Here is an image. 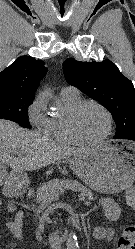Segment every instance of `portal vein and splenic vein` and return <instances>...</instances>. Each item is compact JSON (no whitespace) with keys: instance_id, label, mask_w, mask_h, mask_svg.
Instances as JSON below:
<instances>
[{"instance_id":"portal-vein-and-splenic-vein-1","label":"portal vein and splenic vein","mask_w":135,"mask_h":249,"mask_svg":"<svg viewBox=\"0 0 135 249\" xmlns=\"http://www.w3.org/2000/svg\"><path fill=\"white\" fill-rule=\"evenodd\" d=\"M57 199H58V197H57V198H56V197H53V198H52V201L57 200ZM84 199H85V198H84L83 196H80V197L78 198L79 201H84Z\"/></svg>"}]
</instances>
